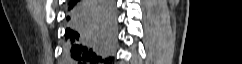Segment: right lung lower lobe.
<instances>
[{"instance_id":"obj_1","label":"right lung lower lobe","mask_w":242,"mask_h":64,"mask_svg":"<svg viewBox=\"0 0 242 64\" xmlns=\"http://www.w3.org/2000/svg\"><path fill=\"white\" fill-rule=\"evenodd\" d=\"M64 60L68 64H110L116 38L114 0H70Z\"/></svg>"}]
</instances>
